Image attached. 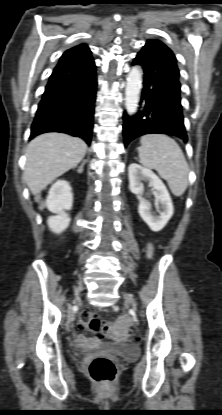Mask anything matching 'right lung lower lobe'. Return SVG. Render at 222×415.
I'll use <instances>...</instances> for the list:
<instances>
[{"label": "right lung lower lobe", "instance_id": "obj_1", "mask_svg": "<svg viewBox=\"0 0 222 415\" xmlns=\"http://www.w3.org/2000/svg\"><path fill=\"white\" fill-rule=\"evenodd\" d=\"M96 66L90 53L63 55L38 105L30 139L46 132L80 137L89 145L96 99Z\"/></svg>", "mask_w": 222, "mask_h": 415}]
</instances>
